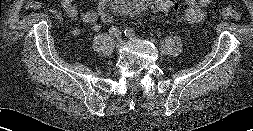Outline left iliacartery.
I'll return each instance as SVG.
<instances>
[{
	"label": "left iliac artery",
	"instance_id": "obj_1",
	"mask_svg": "<svg viewBox=\"0 0 253 131\" xmlns=\"http://www.w3.org/2000/svg\"><path fill=\"white\" fill-rule=\"evenodd\" d=\"M124 34H125L126 36H132V35H135V31H134L132 28H126V29L124 30Z\"/></svg>",
	"mask_w": 253,
	"mask_h": 131
}]
</instances>
